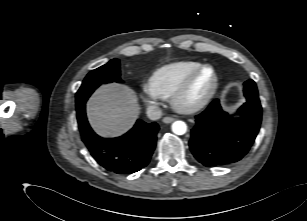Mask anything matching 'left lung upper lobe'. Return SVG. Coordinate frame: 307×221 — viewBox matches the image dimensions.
Wrapping results in <instances>:
<instances>
[{"mask_svg":"<svg viewBox=\"0 0 307 221\" xmlns=\"http://www.w3.org/2000/svg\"><path fill=\"white\" fill-rule=\"evenodd\" d=\"M247 90H251V91H256L257 88H256V84L253 80H248L247 82H245L244 84V91H247Z\"/></svg>","mask_w":307,"mask_h":221,"instance_id":"left-lung-upper-lobe-1","label":"left lung upper lobe"}]
</instances>
